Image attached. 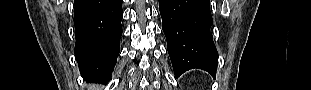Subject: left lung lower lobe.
Here are the masks:
<instances>
[{
    "instance_id": "1",
    "label": "left lung lower lobe",
    "mask_w": 311,
    "mask_h": 90,
    "mask_svg": "<svg viewBox=\"0 0 311 90\" xmlns=\"http://www.w3.org/2000/svg\"><path fill=\"white\" fill-rule=\"evenodd\" d=\"M174 74L199 68L215 76L218 53L210 32V0H159Z\"/></svg>"
}]
</instances>
